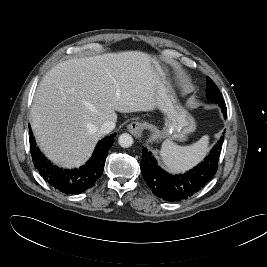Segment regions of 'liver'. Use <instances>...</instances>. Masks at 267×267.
<instances>
[{"mask_svg": "<svg viewBox=\"0 0 267 267\" xmlns=\"http://www.w3.org/2000/svg\"><path fill=\"white\" fill-rule=\"evenodd\" d=\"M158 83L152 58L140 51L57 64L38 85L31 108L39 147L55 164L67 168L82 165L103 135L102 124L116 122V111L157 108Z\"/></svg>", "mask_w": 267, "mask_h": 267, "instance_id": "obj_1", "label": "liver"}]
</instances>
